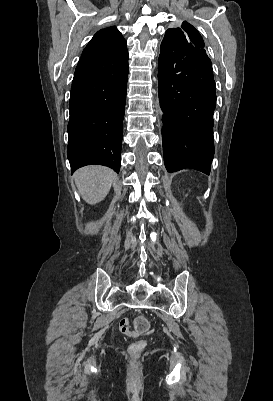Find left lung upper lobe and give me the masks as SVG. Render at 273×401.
<instances>
[{
	"instance_id": "left-lung-upper-lobe-1",
	"label": "left lung upper lobe",
	"mask_w": 273,
	"mask_h": 401,
	"mask_svg": "<svg viewBox=\"0 0 273 401\" xmlns=\"http://www.w3.org/2000/svg\"><path fill=\"white\" fill-rule=\"evenodd\" d=\"M162 43L172 46L190 43L197 48L204 49V41L201 35L186 21H184L179 28L168 29Z\"/></svg>"
}]
</instances>
